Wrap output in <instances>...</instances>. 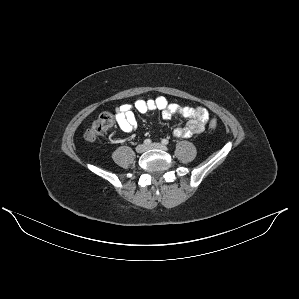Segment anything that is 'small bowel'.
Here are the masks:
<instances>
[{"mask_svg": "<svg viewBox=\"0 0 299 299\" xmlns=\"http://www.w3.org/2000/svg\"><path fill=\"white\" fill-rule=\"evenodd\" d=\"M152 110L161 111L166 119L174 115L187 118L185 126L177 127L173 131L174 136L180 138H188L202 132L209 120V113L204 108L170 103L166 97L158 96L153 99H137L133 104L120 105L116 110V122L121 130L130 132L137 125L134 111L144 114Z\"/></svg>", "mask_w": 299, "mask_h": 299, "instance_id": "1", "label": "small bowel"}]
</instances>
